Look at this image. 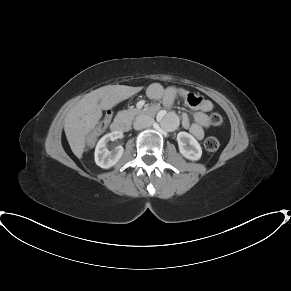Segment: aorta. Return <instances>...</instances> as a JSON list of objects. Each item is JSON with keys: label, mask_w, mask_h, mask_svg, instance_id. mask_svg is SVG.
Returning a JSON list of instances; mask_svg holds the SVG:
<instances>
[{"label": "aorta", "mask_w": 291, "mask_h": 291, "mask_svg": "<svg viewBox=\"0 0 291 291\" xmlns=\"http://www.w3.org/2000/svg\"><path fill=\"white\" fill-rule=\"evenodd\" d=\"M159 124L164 131H174L179 126V119L174 113H166L158 116Z\"/></svg>", "instance_id": "1"}]
</instances>
